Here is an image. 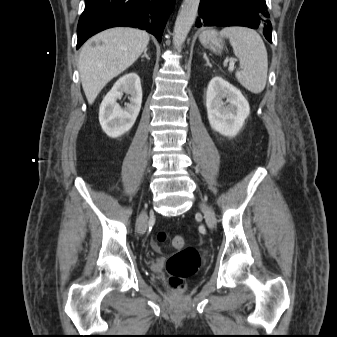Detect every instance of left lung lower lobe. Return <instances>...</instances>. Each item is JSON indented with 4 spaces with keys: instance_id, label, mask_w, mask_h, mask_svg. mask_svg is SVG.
<instances>
[{
    "instance_id": "obj_1",
    "label": "left lung lower lobe",
    "mask_w": 337,
    "mask_h": 337,
    "mask_svg": "<svg viewBox=\"0 0 337 337\" xmlns=\"http://www.w3.org/2000/svg\"><path fill=\"white\" fill-rule=\"evenodd\" d=\"M195 26L261 28L272 42V25L265 0H201Z\"/></svg>"
}]
</instances>
